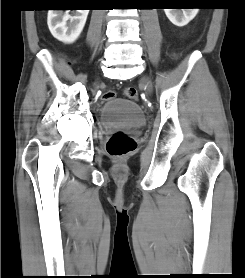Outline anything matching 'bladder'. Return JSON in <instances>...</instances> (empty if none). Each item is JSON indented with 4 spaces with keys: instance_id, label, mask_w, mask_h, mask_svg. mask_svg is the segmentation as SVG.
Instances as JSON below:
<instances>
[{
    "instance_id": "obj_1",
    "label": "bladder",
    "mask_w": 245,
    "mask_h": 278,
    "mask_svg": "<svg viewBox=\"0 0 245 278\" xmlns=\"http://www.w3.org/2000/svg\"><path fill=\"white\" fill-rule=\"evenodd\" d=\"M103 127L116 126L122 130H135L145 125L141 108L132 101L121 98L107 100L100 111Z\"/></svg>"
}]
</instances>
